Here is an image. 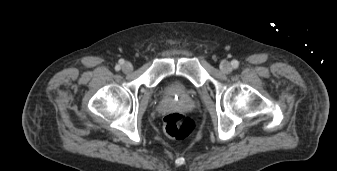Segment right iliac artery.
Listing matches in <instances>:
<instances>
[{
    "instance_id": "right-iliac-artery-1",
    "label": "right iliac artery",
    "mask_w": 337,
    "mask_h": 171,
    "mask_svg": "<svg viewBox=\"0 0 337 171\" xmlns=\"http://www.w3.org/2000/svg\"><path fill=\"white\" fill-rule=\"evenodd\" d=\"M119 63H120V64H123V63H124V60L121 59V60L119 61ZM115 69H116L117 71L120 70V66L117 65V66L115 67Z\"/></svg>"
}]
</instances>
